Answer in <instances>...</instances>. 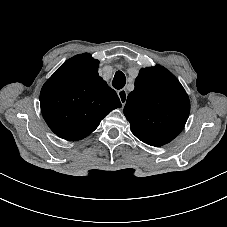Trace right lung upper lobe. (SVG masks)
Returning <instances> with one entry per match:
<instances>
[{
    "label": "right lung upper lobe",
    "instance_id": "cb5924a9",
    "mask_svg": "<svg viewBox=\"0 0 227 227\" xmlns=\"http://www.w3.org/2000/svg\"><path fill=\"white\" fill-rule=\"evenodd\" d=\"M99 61L84 53L67 60L44 84L42 115L60 138L76 141L91 134L121 102L98 74Z\"/></svg>",
    "mask_w": 227,
    "mask_h": 227
}]
</instances>
